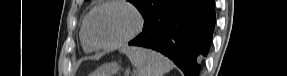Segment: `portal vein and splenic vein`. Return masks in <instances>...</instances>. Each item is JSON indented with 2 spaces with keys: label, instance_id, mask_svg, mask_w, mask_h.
Instances as JSON below:
<instances>
[{
  "label": "portal vein and splenic vein",
  "instance_id": "1",
  "mask_svg": "<svg viewBox=\"0 0 287 76\" xmlns=\"http://www.w3.org/2000/svg\"><path fill=\"white\" fill-rule=\"evenodd\" d=\"M129 74H128V72L126 71V76H128Z\"/></svg>",
  "mask_w": 287,
  "mask_h": 76
}]
</instances>
